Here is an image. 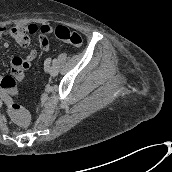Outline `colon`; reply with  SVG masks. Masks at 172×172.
Masks as SVG:
<instances>
[{
	"instance_id": "colon-1",
	"label": "colon",
	"mask_w": 172,
	"mask_h": 172,
	"mask_svg": "<svg viewBox=\"0 0 172 172\" xmlns=\"http://www.w3.org/2000/svg\"><path fill=\"white\" fill-rule=\"evenodd\" d=\"M35 29H31L33 33ZM55 36L68 44L79 47L83 43L81 35L75 31L70 30L65 26H58L55 28ZM0 95L8 108L9 116L20 126L25 127L29 123L28 112L14 102L13 97L17 95L16 82L13 74L3 76L0 79Z\"/></svg>"
}]
</instances>
